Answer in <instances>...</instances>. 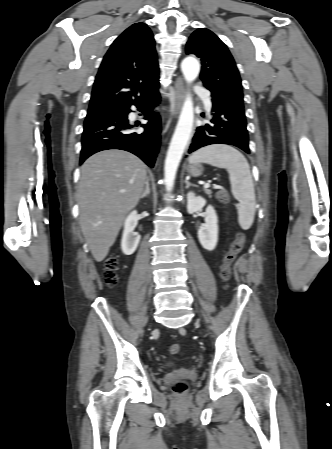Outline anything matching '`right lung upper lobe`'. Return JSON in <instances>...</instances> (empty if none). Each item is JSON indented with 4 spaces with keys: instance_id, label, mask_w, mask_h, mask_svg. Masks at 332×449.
I'll use <instances>...</instances> for the list:
<instances>
[{
    "instance_id": "right-lung-upper-lobe-1",
    "label": "right lung upper lobe",
    "mask_w": 332,
    "mask_h": 449,
    "mask_svg": "<svg viewBox=\"0 0 332 449\" xmlns=\"http://www.w3.org/2000/svg\"><path fill=\"white\" fill-rule=\"evenodd\" d=\"M159 87L155 41L144 23L126 29L110 46L96 76L88 114L117 110Z\"/></svg>"
}]
</instances>
